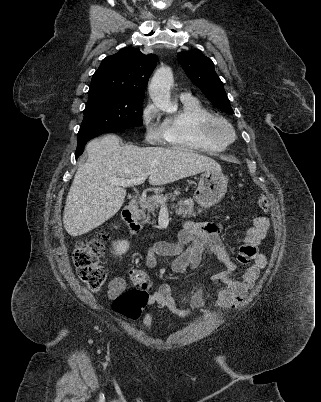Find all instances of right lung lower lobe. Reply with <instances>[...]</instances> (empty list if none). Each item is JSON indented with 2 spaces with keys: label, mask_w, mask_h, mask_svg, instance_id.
I'll return each mask as SVG.
<instances>
[{
  "label": "right lung lower lobe",
  "mask_w": 321,
  "mask_h": 402,
  "mask_svg": "<svg viewBox=\"0 0 321 402\" xmlns=\"http://www.w3.org/2000/svg\"><path fill=\"white\" fill-rule=\"evenodd\" d=\"M119 130H123V129H110V130H105V131H101V132H97V133H93V134L79 135L75 157L78 158L83 153L84 146L90 139H92L98 135H101L103 133L115 132V131H119Z\"/></svg>",
  "instance_id": "98d812e1"
}]
</instances>
